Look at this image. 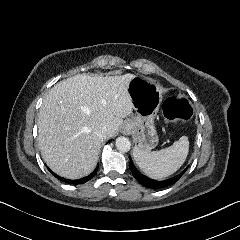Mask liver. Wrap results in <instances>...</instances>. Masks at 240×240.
I'll use <instances>...</instances> for the list:
<instances>
[{"label": "liver", "instance_id": "1", "mask_svg": "<svg viewBox=\"0 0 240 240\" xmlns=\"http://www.w3.org/2000/svg\"><path fill=\"white\" fill-rule=\"evenodd\" d=\"M133 73L108 76L77 74L55 84L39 109L38 141L46 165L57 175L81 179L94 171L104 139L113 138L132 111L127 92Z\"/></svg>", "mask_w": 240, "mask_h": 240}]
</instances>
